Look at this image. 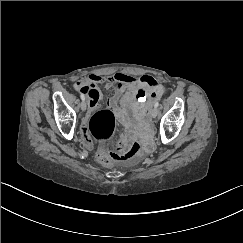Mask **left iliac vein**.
Here are the masks:
<instances>
[{"mask_svg":"<svg viewBox=\"0 0 243 243\" xmlns=\"http://www.w3.org/2000/svg\"><path fill=\"white\" fill-rule=\"evenodd\" d=\"M159 113V110L157 108H153L151 111V117L155 118Z\"/></svg>","mask_w":243,"mask_h":243,"instance_id":"4c4485c4","label":"left iliac vein"}]
</instances>
